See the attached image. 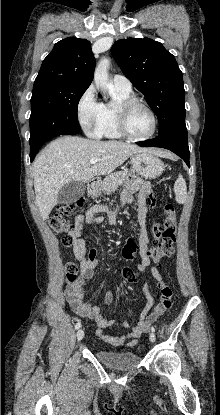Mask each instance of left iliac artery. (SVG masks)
<instances>
[{
    "label": "left iliac artery",
    "instance_id": "1",
    "mask_svg": "<svg viewBox=\"0 0 220 415\" xmlns=\"http://www.w3.org/2000/svg\"><path fill=\"white\" fill-rule=\"evenodd\" d=\"M151 330H152V332H155V327L152 326L151 327Z\"/></svg>",
    "mask_w": 220,
    "mask_h": 415
}]
</instances>
